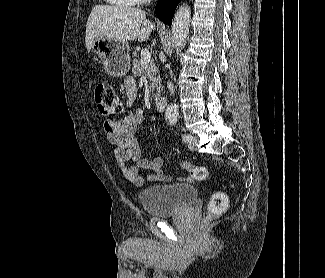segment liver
Instances as JSON below:
<instances>
[{
  "instance_id": "liver-1",
  "label": "liver",
  "mask_w": 325,
  "mask_h": 278,
  "mask_svg": "<svg viewBox=\"0 0 325 278\" xmlns=\"http://www.w3.org/2000/svg\"><path fill=\"white\" fill-rule=\"evenodd\" d=\"M155 24L146 19V13L138 8L96 5L87 20L85 43L87 51L99 37L120 41H145Z\"/></svg>"
}]
</instances>
